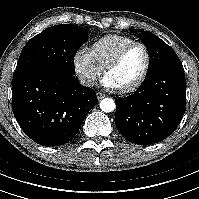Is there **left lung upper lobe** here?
Returning <instances> with one entry per match:
<instances>
[{"mask_svg": "<svg viewBox=\"0 0 199 199\" xmlns=\"http://www.w3.org/2000/svg\"><path fill=\"white\" fill-rule=\"evenodd\" d=\"M134 31L133 28H130ZM138 38L145 44L150 56V64L147 75L155 71L163 64L178 59L174 50L163 40L149 31L139 29Z\"/></svg>", "mask_w": 199, "mask_h": 199, "instance_id": "5c2ea615", "label": "left lung upper lobe"}]
</instances>
